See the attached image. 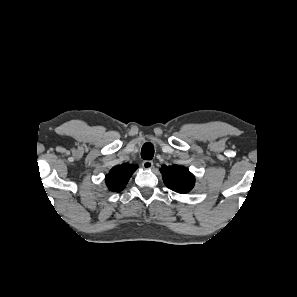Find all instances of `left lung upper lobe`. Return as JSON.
Listing matches in <instances>:
<instances>
[{
  "mask_svg": "<svg viewBox=\"0 0 297 297\" xmlns=\"http://www.w3.org/2000/svg\"><path fill=\"white\" fill-rule=\"evenodd\" d=\"M161 173L165 185L178 193H188L194 186L195 177L188 169L174 166H162Z\"/></svg>",
  "mask_w": 297,
  "mask_h": 297,
  "instance_id": "left-lung-upper-lobe-1",
  "label": "left lung upper lobe"
}]
</instances>
